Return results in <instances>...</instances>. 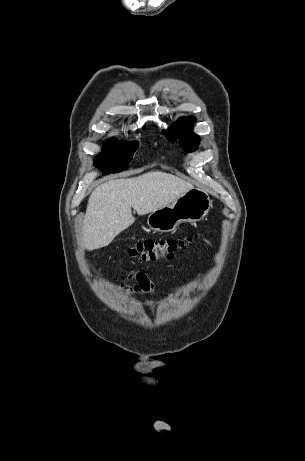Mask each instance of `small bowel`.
<instances>
[{
  "instance_id": "c3829d8e",
  "label": "small bowel",
  "mask_w": 305,
  "mask_h": 461,
  "mask_svg": "<svg viewBox=\"0 0 305 461\" xmlns=\"http://www.w3.org/2000/svg\"><path fill=\"white\" fill-rule=\"evenodd\" d=\"M131 279L133 280V284L128 287H123V291L128 295V296H134V295H147L150 294L153 291V283L151 279L141 271L135 272L132 276ZM170 297V296H169Z\"/></svg>"
}]
</instances>
